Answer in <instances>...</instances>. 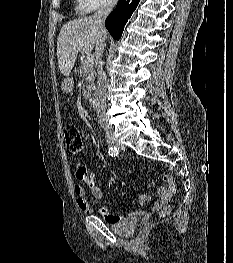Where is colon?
<instances>
[{
	"label": "colon",
	"mask_w": 233,
	"mask_h": 263,
	"mask_svg": "<svg viewBox=\"0 0 233 263\" xmlns=\"http://www.w3.org/2000/svg\"><path fill=\"white\" fill-rule=\"evenodd\" d=\"M64 138L66 149L69 154H77L81 151L83 142L79 129L75 125H69L64 130ZM169 211L168 207H164L160 214L165 216Z\"/></svg>",
	"instance_id": "1"
}]
</instances>
